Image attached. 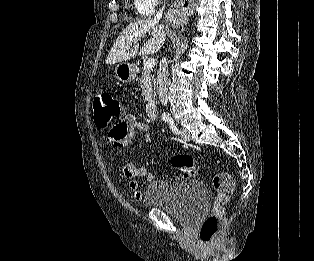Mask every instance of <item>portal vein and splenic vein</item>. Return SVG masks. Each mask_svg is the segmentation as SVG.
<instances>
[{
	"label": "portal vein and splenic vein",
	"instance_id": "18ae733b",
	"mask_svg": "<svg viewBox=\"0 0 314 261\" xmlns=\"http://www.w3.org/2000/svg\"><path fill=\"white\" fill-rule=\"evenodd\" d=\"M147 68H150L152 69L154 66H155V59L154 58H149L147 61H146V65H145Z\"/></svg>",
	"mask_w": 314,
	"mask_h": 261
}]
</instances>
